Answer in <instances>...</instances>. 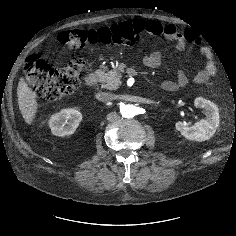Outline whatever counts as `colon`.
I'll return each instance as SVG.
<instances>
[{
    "label": "colon",
    "instance_id": "obj_1",
    "mask_svg": "<svg viewBox=\"0 0 236 236\" xmlns=\"http://www.w3.org/2000/svg\"><path fill=\"white\" fill-rule=\"evenodd\" d=\"M144 29L142 20H127L109 27L63 31L58 35V40L74 50L95 44L132 46L138 42ZM84 65V59L76 56L66 66L53 68L33 54L26 60L24 77L37 95L55 100L78 88Z\"/></svg>",
    "mask_w": 236,
    "mask_h": 236
}]
</instances>
